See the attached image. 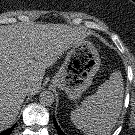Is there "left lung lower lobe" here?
<instances>
[{
	"instance_id": "left-lung-lower-lobe-1",
	"label": "left lung lower lobe",
	"mask_w": 135,
	"mask_h": 135,
	"mask_svg": "<svg viewBox=\"0 0 135 135\" xmlns=\"http://www.w3.org/2000/svg\"><path fill=\"white\" fill-rule=\"evenodd\" d=\"M54 120V125H55V128L58 132L59 135H65L64 132L59 128V126L57 125V122L55 120V118L53 119Z\"/></svg>"
}]
</instances>
